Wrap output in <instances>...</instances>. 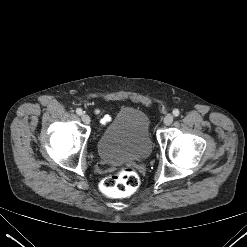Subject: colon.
I'll use <instances>...</instances> for the list:
<instances>
[{
    "mask_svg": "<svg viewBox=\"0 0 247 247\" xmlns=\"http://www.w3.org/2000/svg\"><path fill=\"white\" fill-rule=\"evenodd\" d=\"M140 178L134 168L125 167L116 174L108 176L102 182L103 191L112 197L132 194L139 186Z\"/></svg>",
    "mask_w": 247,
    "mask_h": 247,
    "instance_id": "5ec220e1",
    "label": "colon"
}]
</instances>
